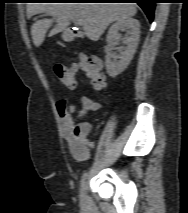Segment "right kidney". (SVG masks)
Here are the masks:
<instances>
[{
    "instance_id": "ca27d5eb",
    "label": "right kidney",
    "mask_w": 188,
    "mask_h": 213,
    "mask_svg": "<svg viewBox=\"0 0 188 213\" xmlns=\"http://www.w3.org/2000/svg\"><path fill=\"white\" fill-rule=\"evenodd\" d=\"M123 29L128 30L127 38H122L119 34V31ZM139 38L140 23L134 18L119 19L109 28L105 47V65L110 77H116L128 67L138 47ZM122 39L126 46L120 48L118 57L112 55L113 46Z\"/></svg>"
}]
</instances>
